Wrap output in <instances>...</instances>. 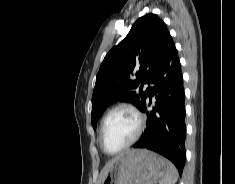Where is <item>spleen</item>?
Returning <instances> with one entry per match:
<instances>
[{
	"label": "spleen",
	"instance_id": "spleen-1",
	"mask_svg": "<svg viewBox=\"0 0 235 184\" xmlns=\"http://www.w3.org/2000/svg\"><path fill=\"white\" fill-rule=\"evenodd\" d=\"M178 178V170H176L175 166L167 160L165 176L160 180L159 184H176Z\"/></svg>",
	"mask_w": 235,
	"mask_h": 184
}]
</instances>
